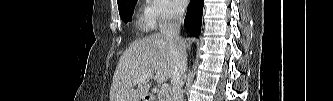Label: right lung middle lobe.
I'll return each mask as SVG.
<instances>
[{"label":"right lung middle lobe","mask_w":333,"mask_h":101,"mask_svg":"<svg viewBox=\"0 0 333 101\" xmlns=\"http://www.w3.org/2000/svg\"><path fill=\"white\" fill-rule=\"evenodd\" d=\"M136 2L137 0H123L118 3L119 14L125 23L131 21L132 12Z\"/></svg>","instance_id":"right-lung-middle-lobe-1"}]
</instances>
